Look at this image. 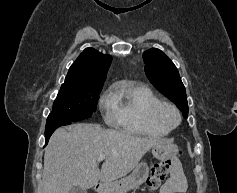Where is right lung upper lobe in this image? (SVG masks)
Segmentation results:
<instances>
[{
  "label": "right lung upper lobe",
  "instance_id": "1",
  "mask_svg": "<svg viewBox=\"0 0 237 193\" xmlns=\"http://www.w3.org/2000/svg\"><path fill=\"white\" fill-rule=\"evenodd\" d=\"M112 57L93 48H86L71 65L65 84L90 87L103 86Z\"/></svg>",
  "mask_w": 237,
  "mask_h": 193
}]
</instances>
